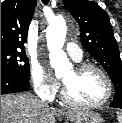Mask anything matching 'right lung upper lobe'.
<instances>
[{"mask_svg":"<svg viewBox=\"0 0 122 123\" xmlns=\"http://www.w3.org/2000/svg\"><path fill=\"white\" fill-rule=\"evenodd\" d=\"M37 0H5L1 3V50L24 51Z\"/></svg>","mask_w":122,"mask_h":123,"instance_id":"obj_1","label":"right lung upper lobe"}]
</instances>
